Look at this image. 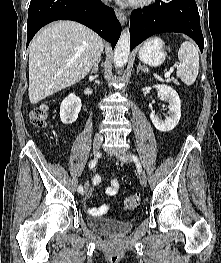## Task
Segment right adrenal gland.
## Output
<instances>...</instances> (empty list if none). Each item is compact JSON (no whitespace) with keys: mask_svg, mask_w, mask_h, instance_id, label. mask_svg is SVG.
Masks as SVG:
<instances>
[{"mask_svg":"<svg viewBox=\"0 0 221 263\" xmlns=\"http://www.w3.org/2000/svg\"><path fill=\"white\" fill-rule=\"evenodd\" d=\"M100 61H101V58H99V59L94 63V66H93V69H92V71H91V74L97 73V71H98V66H99Z\"/></svg>","mask_w":221,"mask_h":263,"instance_id":"obj_1","label":"right adrenal gland"}]
</instances>
